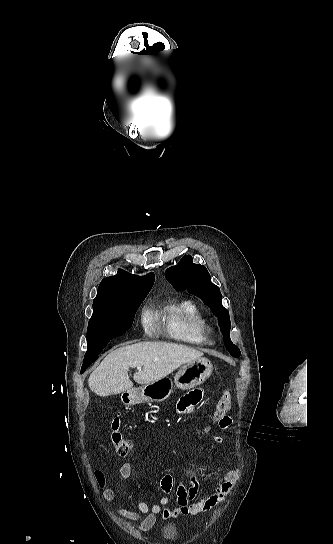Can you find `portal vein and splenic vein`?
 Instances as JSON below:
<instances>
[{"instance_id":"portal-vein-and-splenic-vein-1","label":"portal vein and splenic vein","mask_w":333,"mask_h":544,"mask_svg":"<svg viewBox=\"0 0 333 544\" xmlns=\"http://www.w3.org/2000/svg\"><path fill=\"white\" fill-rule=\"evenodd\" d=\"M138 369L140 370V369H141V366H138Z\"/></svg>"}]
</instances>
